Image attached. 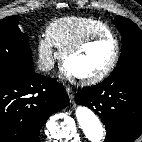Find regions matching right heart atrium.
<instances>
[{
    "label": "right heart atrium",
    "mask_w": 142,
    "mask_h": 142,
    "mask_svg": "<svg viewBox=\"0 0 142 142\" xmlns=\"http://www.w3.org/2000/svg\"><path fill=\"white\" fill-rule=\"evenodd\" d=\"M37 52L44 69H50L55 61V52L52 43L47 37H41L37 42Z\"/></svg>",
    "instance_id": "obj_1"
}]
</instances>
